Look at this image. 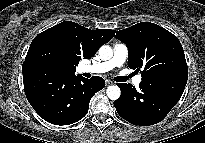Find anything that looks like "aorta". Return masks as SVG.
<instances>
[{
  "label": "aorta",
  "instance_id": "aorta-1",
  "mask_svg": "<svg viewBox=\"0 0 205 143\" xmlns=\"http://www.w3.org/2000/svg\"><path fill=\"white\" fill-rule=\"evenodd\" d=\"M99 55H100V58L104 61L110 60L113 57V50L110 46L103 45L99 49ZM106 94H107L109 99L117 100V99H119V97L121 95V91H120V88L118 86L112 85V86L107 87Z\"/></svg>",
  "mask_w": 205,
  "mask_h": 143
}]
</instances>
